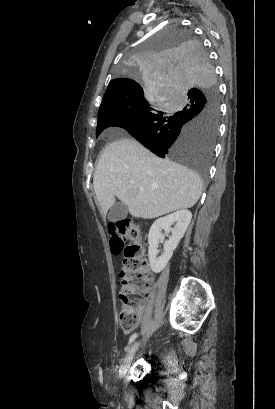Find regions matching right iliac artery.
I'll return each mask as SVG.
<instances>
[{
    "label": "right iliac artery",
    "instance_id": "obj_1",
    "mask_svg": "<svg viewBox=\"0 0 275 409\" xmlns=\"http://www.w3.org/2000/svg\"><path fill=\"white\" fill-rule=\"evenodd\" d=\"M138 334L137 333H133L129 339L128 345L125 348V350L127 351L130 347V345L134 342V340L137 338Z\"/></svg>",
    "mask_w": 275,
    "mask_h": 409
}]
</instances>
